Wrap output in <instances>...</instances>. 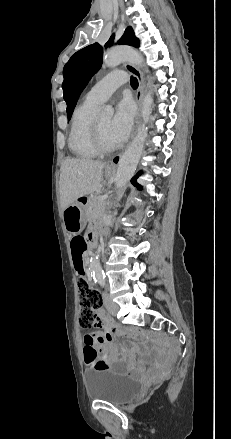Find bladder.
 <instances>
[{
	"label": "bladder",
	"instance_id": "1",
	"mask_svg": "<svg viewBox=\"0 0 231 439\" xmlns=\"http://www.w3.org/2000/svg\"><path fill=\"white\" fill-rule=\"evenodd\" d=\"M84 378L91 399L113 404L126 402L136 396L142 387L139 380L118 374L112 369L90 368Z\"/></svg>",
	"mask_w": 231,
	"mask_h": 439
}]
</instances>
